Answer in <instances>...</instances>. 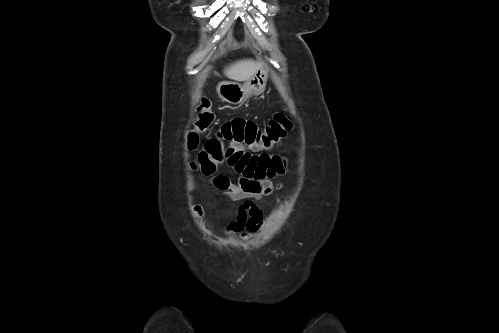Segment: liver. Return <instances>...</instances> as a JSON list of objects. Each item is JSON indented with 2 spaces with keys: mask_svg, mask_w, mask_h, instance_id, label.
<instances>
[{
  "mask_svg": "<svg viewBox=\"0 0 499 333\" xmlns=\"http://www.w3.org/2000/svg\"><path fill=\"white\" fill-rule=\"evenodd\" d=\"M263 67V62L251 60L239 61L225 70V75L235 81H247L254 73Z\"/></svg>",
  "mask_w": 499,
  "mask_h": 333,
  "instance_id": "liver-1",
  "label": "liver"
}]
</instances>
